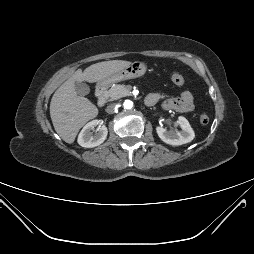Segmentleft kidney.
Instances as JSON below:
<instances>
[{
  "instance_id": "left-kidney-1",
  "label": "left kidney",
  "mask_w": 254,
  "mask_h": 254,
  "mask_svg": "<svg viewBox=\"0 0 254 254\" xmlns=\"http://www.w3.org/2000/svg\"><path fill=\"white\" fill-rule=\"evenodd\" d=\"M178 123L181 127L180 131L167 130L163 126L156 127V132L159 138L166 144L172 146H178L191 142L195 137V133L188 120L183 116H179Z\"/></svg>"
}]
</instances>
